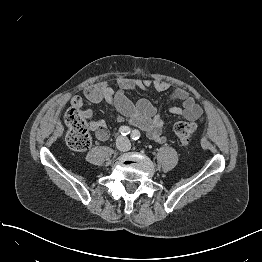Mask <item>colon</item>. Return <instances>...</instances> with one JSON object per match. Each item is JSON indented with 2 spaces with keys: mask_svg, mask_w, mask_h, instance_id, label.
Wrapping results in <instances>:
<instances>
[{
  "mask_svg": "<svg viewBox=\"0 0 262 262\" xmlns=\"http://www.w3.org/2000/svg\"><path fill=\"white\" fill-rule=\"evenodd\" d=\"M65 124L67 126L66 141L68 145L76 150L83 151L91 145V135L88 123L81 111L76 106H71L65 113ZM175 133L181 144L189 146L192 135L196 130V123L190 121H179L174 126Z\"/></svg>",
  "mask_w": 262,
  "mask_h": 262,
  "instance_id": "obj_1",
  "label": "colon"
}]
</instances>
